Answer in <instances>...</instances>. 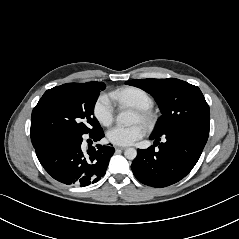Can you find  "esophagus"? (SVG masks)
<instances>
[{
  "instance_id": "esophagus-1",
  "label": "esophagus",
  "mask_w": 239,
  "mask_h": 239,
  "mask_svg": "<svg viewBox=\"0 0 239 239\" xmlns=\"http://www.w3.org/2000/svg\"><path fill=\"white\" fill-rule=\"evenodd\" d=\"M115 149L116 150H125L126 148L125 147H121V146H115Z\"/></svg>"
}]
</instances>
